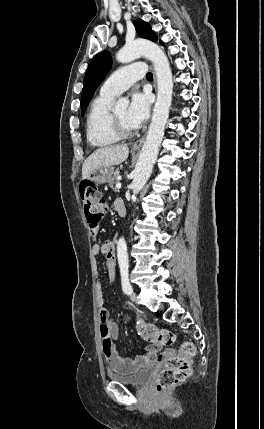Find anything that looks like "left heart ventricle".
I'll use <instances>...</instances> for the list:
<instances>
[{"label":"left heart ventricle","mask_w":264,"mask_h":429,"mask_svg":"<svg viewBox=\"0 0 264 429\" xmlns=\"http://www.w3.org/2000/svg\"><path fill=\"white\" fill-rule=\"evenodd\" d=\"M118 120L122 123V125L129 129L133 130L134 128L131 126V124L128 122L127 119V107H118L114 110Z\"/></svg>","instance_id":"b2bd125f"}]
</instances>
